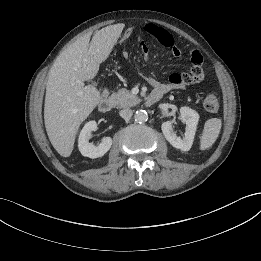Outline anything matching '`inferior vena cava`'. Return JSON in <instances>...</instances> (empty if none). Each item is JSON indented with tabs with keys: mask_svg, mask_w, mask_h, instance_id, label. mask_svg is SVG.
<instances>
[{
	"mask_svg": "<svg viewBox=\"0 0 261 261\" xmlns=\"http://www.w3.org/2000/svg\"><path fill=\"white\" fill-rule=\"evenodd\" d=\"M120 116L125 119V120H129L131 117H132V110L129 109V108H126V109H122L120 110L119 112Z\"/></svg>",
	"mask_w": 261,
	"mask_h": 261,
	"instance_id": "602c4592",
	"label": "inferior vena cava"
}]
</instances>
